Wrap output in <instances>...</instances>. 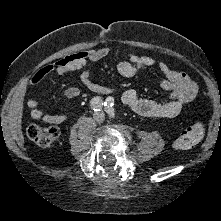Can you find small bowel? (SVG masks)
Returning a JSON list of instances; mask_svg holds the SVG:
<instances>
[{
    "label": "small bowel",
    "mask_w": 221,
    "mask_h": 221,
    "mask_svg": "<svg viewBox=\"0 0 221 221\" xmlns=\"http://www.w3.org/2000/svg\"><path fill=\"white\" fill-rule=\"evenodd\" d=\"M109 53L107 47L79 51L64 58H61L50 65L42 67L32 77L31 84L38 85L43 78L51 73L64 74L70 71L82 70L80 80L91 92L96 94H113L114 90L95 83L87 65L91 61H98ZM155 60L148 55H140L130 52L128 59L118 63L116 70L123 77H132L139 70L152 67ZM158 70L164 75L160 86L169 92V100L165 103H158L153 100L140 98L135 90L129 89L122 93L121 100L135 113L146 117L170 118L178 115L181 110L193 101L198 94V85L187 74L175 70L164 62L158 63ZM80 90L77 87H68L64 91L67 98L79 96ZM26 105L30 109L31 116L50 124H61L68 119L67 114H48L38 108V101L27 99Z\"/></svg>",
    "instance_id": "c3829d8e"
}]
</instances>
